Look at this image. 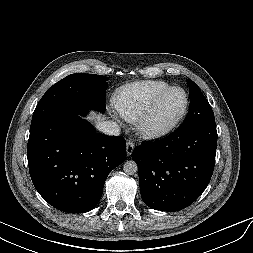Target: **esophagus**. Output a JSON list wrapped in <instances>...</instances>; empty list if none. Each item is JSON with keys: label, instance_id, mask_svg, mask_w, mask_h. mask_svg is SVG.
<instances>
[{"label": "esophagus", "instance_id": "1", "mask_svg": "<svg viewBox=\"0 0 253 253\" xmlns=\"http://www.w3.org/2000/svg\"><path fill=\"white\" fill-rule=\"evenodd\" d=\"M134 147H135V143L131 139L127 140V143H126L127 156H130L132 154Z\"/></svg>", "mask_w": 253, "mask_h": 253}]
</instances>
